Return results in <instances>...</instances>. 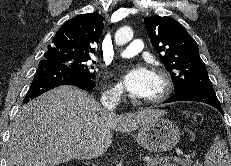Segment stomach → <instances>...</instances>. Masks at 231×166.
<instances>
[{
	"label": "stomach",
	"mask_w": 231,
	"mask_h": 166,
	"mask_svg": "<svg viewBox=\"0 0 231 166\" xmlns=\"http://www.w3.org/2000/svg\"><path fill=\"white\" fill-rule=\"evenodd\" d=\"M179 138V127L162 116L141 126L134 136L142 148L159 153L171 150Z\"/></svg>",
	"instance_id": "0dacf381"
}]
</instances>
